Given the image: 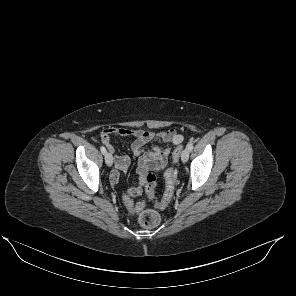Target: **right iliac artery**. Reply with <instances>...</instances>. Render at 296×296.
Instances as JSON below:
<instances>
[{"label":"right iliac artery","mask_w":296,"mask_h":296,"mask_svg":"<svg viewBox=\"0 0 296 296\" xmlns=\"http://www.w3.org/2000/svg\"><path fill=\"white\" fill-rule=\"evenodd\" d=\"M100 150H101L102 154H106V149L104 146H101Z\"/></svg>","instance_id":"1"}]
</instances>
